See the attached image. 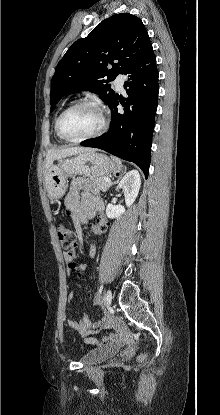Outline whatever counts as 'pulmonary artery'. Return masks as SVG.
Listing matches in <instances>:
<instances>
[{"label":"pulmonary artery","instance_id":"e3ab8cb5","mask_svg":"<svg viewBox=\"0 0 220 415\" xmlns=\"http://www.w3.org/2000/svg\"><path fill=\"white\" fill-rule=\"evenodd\" d=\"M124 80H125V77L122 74L117 75V77L115 78L114 83L118 90H123Z\"/></svg>","mask_w":220,"mask_h":415}]
</instances>
